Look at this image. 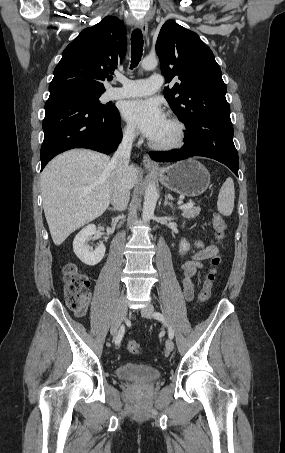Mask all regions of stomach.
I'll list each match as a JSON object with an SVG mask.
<instances>
[{"instance_id":"0dacf381","label":"stomach","mask_w":285,"mask_h":453,"mask_svg":"<svg viewBox=\"0 0 285 453\" xmlns=\"http://www.w3.org/2000/svg\"><path fill=\"white\" fill-rule=\"evenodd\" d=\"M167 189L187 197H196L206 191L210 174L203 164L195 159L179 161L153 171Z\"/></svg>"}]
</instances>
